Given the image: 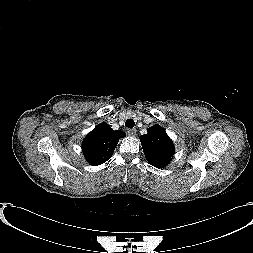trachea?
Listing matches in <instances>:
<instances>
[{
	"label": "trachea",
	"mask_w": 253,
	"mask_h": 253,
	"mask_svg": "<svg viewBox=\"0 0 253 253\" xmlns=\"http://www.w3.org/2000/svg\"><path fill=\"white\" fill-rule=\"evenodd\" d=\"M134 120L133 119H127L125 122V126L128 128H133L134 127Z\"/></svg>",
	"instance_id": "3493384b"
}]
</instances>
